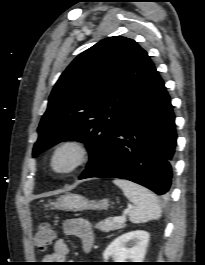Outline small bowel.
I'll return each instance as SVG.
<instances>
[{
	"mask_svg": "<svg viewBox=\"0 0 205 265\" xmlns=\"http://www.w3.org/2000/svg\"><path fill=\"white\" fill-rule=\"evenodd\" d=\"M63 232L67 236L79 237L85 252H90L94 246V233L90 222L84 218L68 219L63 223ZM69 246L64 239H58L52 253L46 255V263H62L67 257Z\"/></svg>",
	"mask_w": 205,
	"mask_h": 265,
	"instance_id": "small-bowel-1",
	"label": "small bowel"
}]
</instances>
